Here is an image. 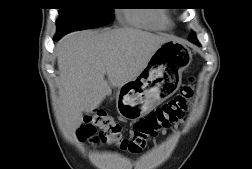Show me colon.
I'll return each mask as SVG.
<instances>
[{
  "label": "colon",
  "mask_w": 252,
  "mask_h": 169,
  "mask_svg": "<svg viewBox=\"0 0 252 169\" xmlns=\"http://www.w3.org/2000/svg\"><path fill=\"white\" fill-rule=\"evenodd\" d=\"M193 96L192 86L182 87L176 97L139 119L129 135H124L122 127L111 116L93 111L85 116L78 129V138L94 146L110 144L125 152L140 153L152 138L183 118Z\"/></svg>",
  "instance_id": "obj_1"
}]
</instances>
